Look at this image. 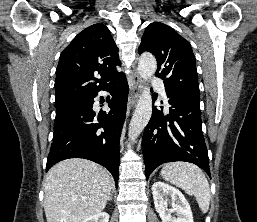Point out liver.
Listing matches in <instances>:
<instances>
[{
	"mask_svg": "<svg viewBox=\"0 0 257 222\" xmlns=\"http://www.w3.org/2000/svg\"><path fill=\"white\" fill-rule=\"evenodd\" d=\"M113 181L106 169L86 159H66L53 166L44 182L47 222H82L100 213Z\"/></svg>",
	"mask_w": 257,
	"mask_h": 222,
	"instance_id": "liver-1",
	"label": "liver"
}]
</instances>
